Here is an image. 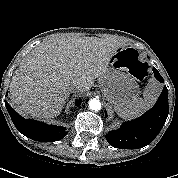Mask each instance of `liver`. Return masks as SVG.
I'll list each match as a JSON object with an SVG mask.
<instances>
[{
    "label": "liver",
    "mask_w": 178,
    "mask_h": 178,
    "mask_svg": "<svg viewBox=\"0 0 178 178\" xmlns=\"http://www.w3.org/2000/svg\"><path fill=\"white\" fill-rule=\"evenodd\" d=\"M123 44L96 37H59L35 47L20 63L10 84L12 107L21 115H58L70 94L85 92L107 70ZM73 83L79 89L73 91Z\"/></svg>",
    "instance_id": "6515ba94"
}]
</instances>
